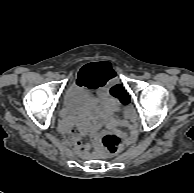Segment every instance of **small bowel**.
I'll list each match as a JSON object with an SVG mask.
<instances>
[{"label":"small bowel","mask_w":194,"mask_h":193,"mask_svg":"<svg viewBox=\"0 0 194 193\" xmlns=\"http://www.w3.org/2000/svg\"><path fill=\"white\" fill-rule=\"evenodd\" d=\"M114 73V68L112 65L99 62L95 64H90L84 66L78 77V85H89V91L87 93L88 103L85 105H74L68 107L64 112L63 118V132L69 134L73 126L78 127V132L70 138V143L75 146L78 150H83L82 136L84 130L82 127H79L76 123L75 117L79 113L86 114L88 118V125L92 128V121L96 119L107 120L110 124H113L115 119L112 115V112L116 106V102L112 99H109L102 107V111H99V100L100 94L98 89L100 88V83L97 81L89 82L88 78L90 76H100L103 74ZM123 112L125 116H131L133 111L129 107H124Z\"/></svg>","instance_id":"1"}]
</instances>
